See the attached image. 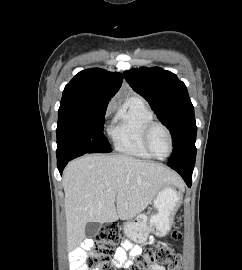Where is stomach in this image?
<instances>
[{
  "label": "stomach",
  "instance_id": "1",
  "mask_svg": "<svg viewBox=\"0 0 242 270\" xmlns=\"http://www.w3.org/2000/svg\"><path fill=\"white\" fill-rule=\"evenodd\" d=\"M182 202V191L174 186L167 185L160 189L154 197L155 213L150 217L139 214L124 224L125 235L135 243L142 244L150 233L163 237L169 233L174 216Z\"/></svg>",
  "mask_w": 242,
  "mask_h": 270
}]
</instances>
